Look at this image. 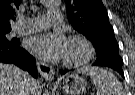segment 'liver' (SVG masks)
Returning <instances> with one entry per match:
<instances>
[{"instance_id":"obj_1","label":"liver","mask_w":135,"mask_h":95,"mask_svg":"<svg viewBox=\"0 0 135 95\" xmlns=\"http://www.w3.org/2000/svg\"><path fill=\"white\" fill-rule=\"evenodd\" d=\"M31 87L32 95H37L39 84L20 68L0 63V95H25L26 85Z\"/></svg>"}]
</instances>
